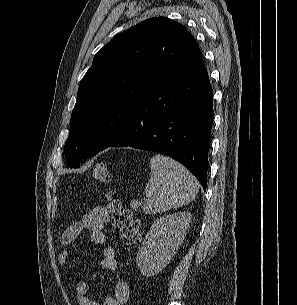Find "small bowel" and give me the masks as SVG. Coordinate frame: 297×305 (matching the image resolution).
Listing matches in <instances>:
<instances>
[{
	"label": "small bowel",
	"instance_id": "1",
	"mask_svg": "<svg viewBox=\"0 0 297 305\" xmlns=\"http://www.w3.org/2000/svg\"><path fill=\"white\" fill-rule=\"evenodd\" d=\"M109 221V214L104 207L95 206L82 219L69 226L62 234L60 241V252L58 262L61 265L67 263L73 243L84 233H90L91 240L103 246L102 258L99 266L107 269L117 267L116 254L113 247L106 244V236L103 232L104 225ZM94 280V271H91L90 282ZM76 292L80 305H125L131 297L130 285L125 281H119L114 287L113 296L104 299L99 303L90 296V284L80 280L76 285Z\"/></svg>",
	"mask_w": 297,
	"mask_h": 305
}]
</instances>
